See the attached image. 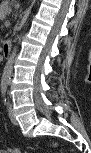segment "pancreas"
Returning <instances> with one entry per match:
<instances>
[{
    "label": "pancreas",
    "instance_id": "cf45deb5",
    "mask_svg": "<svg viewBox=\"0 0 91 153\" xmlns=\"http://www.w3.org/2000/svg\"><path fill=\"white\" fill-rule=\"evenodd\" d=\"M0 11H1V16L2 17L5 16L6 13H9L11 11V9H10L8 3H3L1 5V10Z\"/></svg>",
    "mask_w": 91,
    "mask_h": 153
}]
</instances>
